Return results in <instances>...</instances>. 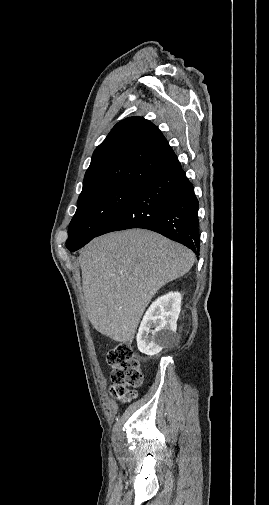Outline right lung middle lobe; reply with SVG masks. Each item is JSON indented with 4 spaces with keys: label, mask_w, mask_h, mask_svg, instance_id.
<instances>
[{
    "label": "right lung middle lobe",
    "mask_w": 269,
    "mask_h": 505,
    "mask_svg": "<svg viewBox=\"0 0 269 505\" xmlns=\"http://www.w3.org/2000/svg\"><path fill=\"white\" fill-rule=\"evenodd\" d=\"M138 188L105 184L82 191L69 225L67 249L76 251L96 237Z\"/></svg>",
    "instance_id": "1"
}]
</instances>
